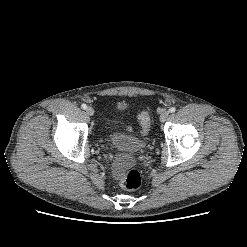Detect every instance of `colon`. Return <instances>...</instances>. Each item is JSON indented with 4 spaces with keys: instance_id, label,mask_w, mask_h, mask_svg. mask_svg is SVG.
Segmentation results:
<instances>
[{
    "instance_id": "obj_1",
    "label": "colon",
    "mask_w": 247,
    "mask_h": 247,
    "mask_svg": "<svg viewBox=\"0 0 247 247\" xmlns=\"http://www.w3.org/2000/svg\"><path fill=\"white\" fill-rule=\"evenodd\" d=\"M138 120L141 125V131L145 134L150 126V117L147 111L143 110L138 115ZM142 184V176L138 170L132 169L124 174L120 180V185L125 190H136Z\"/></svg>"
}]
</instances>
